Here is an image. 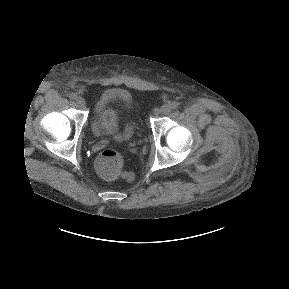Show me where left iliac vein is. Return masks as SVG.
<instances>
[{
  "mask_svg": "<svg viewBox=\"0 0 289 289\" xmlns=\"http://www.w3.org/2000/svg\"><path fill=\"white\" fill-rule=\"evenodd\" d=\"M170 111H171L170 105L164 104L163 106H161V108H160V110H159V113H160V114H163V115H166V114H168Z\"/></svg>",
  "mask_w": 289,
  "mask_h": 289,
  "instance_id": "1",
  "label": "left iliac vein"
}]
</instances>
